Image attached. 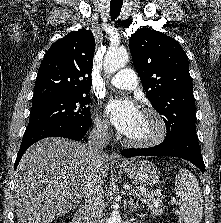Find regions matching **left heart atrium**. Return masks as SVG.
I'll list each match as a JSON object with an SVG mask.
<instances>
[{
    "instance_id": "39dd6f15",
    "label": "left heart atrium",
    "mask_w": 221,
    "mask_h": 223,
    "mask_svg": "<svg viewBox=\"0 0 221 223\" xmlns=\"http://www.w3.org/2000/svg\"><path fill=\"white\" fill-rule=\"evenodd\" d=\"M111 123L122 133L128 135L137 124L141 112L133 100L113 99L105 107Z\"/></svg>"
}]
</instances>
